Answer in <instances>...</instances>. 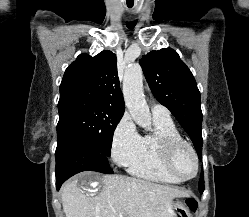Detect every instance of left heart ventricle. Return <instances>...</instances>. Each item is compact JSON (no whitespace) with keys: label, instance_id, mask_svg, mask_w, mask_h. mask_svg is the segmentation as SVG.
<instances>
[{"label":"left heart ventricle","instance_id":"obj_1","mask_svg":"<svg viewBox=\"0 0 249 217\" xmlns=\"http://www.w3.org/2000/svg\"><path fill=\"white\" fill-rule=\"evenodd\" d=\"M177 170L183 176H189L194 171V160L187 150H181L175 160Z\"/></svg>","mask_w":249,"mask_h":217}]
</instances>
